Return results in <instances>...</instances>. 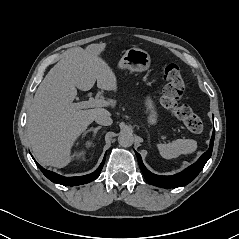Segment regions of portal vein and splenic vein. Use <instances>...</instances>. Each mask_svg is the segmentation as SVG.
I'll return each instance as SVG.
<instances>
[{"label": "portal vein and splenic vein", "instance_id": "portal-vein-and-splenic-vein-1", "mask_svg": "<svg viewBox=\"0 0 239 239\" xmlns=\"http://www.w3.org/2000/svg\"><path fill=\"white\" fill-rule=\"evenodd\" d=\"M108 105H109V102L104 99L90 97L88 101L75 103L74 107L76 109H85V108H93V107H103Z\"/></svg>", "mask_w": 239, "mask_h": 239}]
</instances>
